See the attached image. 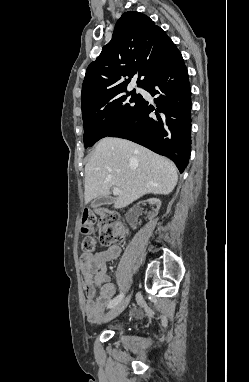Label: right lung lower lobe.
<instances>
[{
	"instance_id": "1",
	"label": "right lung lower lobe",
	"mask_w": 249,
	"mask_h": 382,
	"mask_svg": "<svg viewBox=\"0 0 249 382\" xmlns=\"http://www.w3.org/2000/svg\"><path fill=\"white\" fill-rule=\"evenodd\" d=\"M144 89L156 97L155 104L143 99L134 117L108 136L169 157L182 173L191 151V89L182 56L152 74Z\"/></svg>"
}]
</instances>
